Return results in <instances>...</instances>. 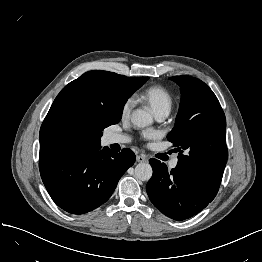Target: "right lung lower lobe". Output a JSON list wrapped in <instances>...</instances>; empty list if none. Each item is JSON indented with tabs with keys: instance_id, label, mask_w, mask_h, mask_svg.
Instances as JSON below:
<instances>
[{
	"instance_id": "right-lung-lower-lobe-1",
	"label": "right lung lower lobe",
	"mask_w": 262,
	"mask_h": 262,
	"mask_svg": "<svg viewBox=\"0 0 262 262\" xmlns=\"http://www.w3.org/2000/svg\"><path fill=\"white\" fill-rule=\"evenodd\" d=\"M135 162L130 149L115 153L86 144L40 149L42 181L63 210L84 214L105 203L125 171Z\"/></svg>"
}]
</instances>
